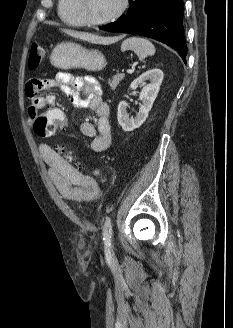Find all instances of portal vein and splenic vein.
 <instances>
[{"instance_id":"portal-vein-and-splenic-vein-1","label":"portal vein and splenic vein","mask_w":233,"mask_h":328,"mask_svg":"<svg viewBox=\"0 0 233 328\" xmlns=\"http://www.w3.org/2000/svg\"><path fill=\"white\" fill-rule=\"evenodd\" d=\"M134 71L132 69H128L127 73L132 74Z\"/></svg>"}]
</instances>
